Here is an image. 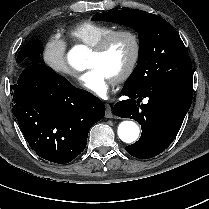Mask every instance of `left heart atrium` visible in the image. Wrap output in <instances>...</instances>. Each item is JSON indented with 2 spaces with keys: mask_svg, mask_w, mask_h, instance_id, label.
Masks as SVG:
<instances>
[{
  "mask_svg": "<svg viewBox=\"0 0 209 209\" xmlns=\"http://www.w3.org/2000/svg\"><path fill=\"white\" fill-rule=\"evenodd\" d=\"M81 85L100 98H105L116 79L108 76L102 69L93 67L79 77Z\"/></svg>",
  "mask_w": 209,
  "mask_h": 209,
  "instance_id": "1",
  "label": "left heart atrium"
}]
</instances>
